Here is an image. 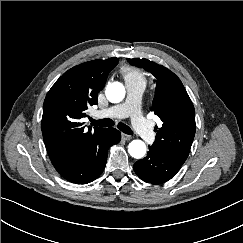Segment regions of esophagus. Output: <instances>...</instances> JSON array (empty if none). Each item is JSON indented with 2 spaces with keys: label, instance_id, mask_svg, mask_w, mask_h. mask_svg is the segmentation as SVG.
I'll return each mask as SVG.
<instances>
[{
  "label": "esophagus",
  "instance_id": "1",
  "mask_svg": "<svg viewBox=\"0 0 243 243\" xmlns=\"http://www.w3.org/2000/svg\"><path fill=\"white\" fill-rule=\"evenodd\" d=\"M122 139L129 141L132 139V136L122 133Z\"/></svg>",
  "mask_w": 243,
  "mask_h": 243
}]
</instances>
